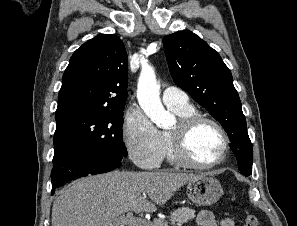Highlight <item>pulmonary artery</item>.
Instances as JSON below:
<instances>
[{
  "instance_id": "e3ab8cb5",
  "label": "pulmonary artery",
  "mask_w": 297,
  "mask_h": 226,
  "mask_svg": "<svg viewBox=\"0 0 297 226\" xmlns=\"http://www.w3.org/2000/svg\"><path fill=\"white\" fill-rule=\"evenodd\" d=\"M163 103L167 107L185 108L190 106L186 92L177 87H167L162 92Z\"/></svg>"
}]
</instances>
